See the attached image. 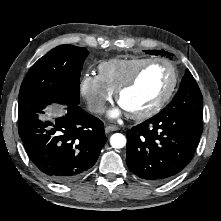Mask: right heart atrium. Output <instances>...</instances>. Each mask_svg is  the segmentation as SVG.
<instances>
[{"mask_svg":"<svg viewBox=\"0 0 221 221\" xmlns=\"http://www.w3.org/2000/svg\"><path fill=\"white\" fill-rule=\"evenodd\" d=\"M80 92L90 111L102 113L105 105L113 98V92L99 75L85 74L80 81Z\"/></svg>","mask_w":221,"mask_h":221,"instance_id":"obj_1","label":"right heart atrium"}]
</instances>
